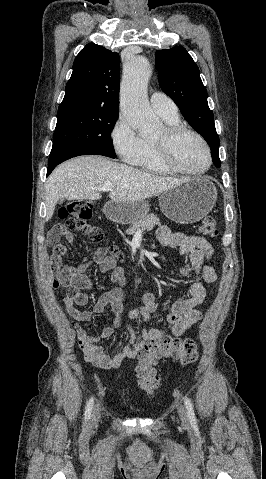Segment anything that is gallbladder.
Listing matches in <instances>:
<instances>
[{
	"instance_id": "obj_1",
	"label": "gallbladder",
	"mask_w": 266,
	"mask_h": 479,
	"mask_svg": "<svg viewBox=\"0 0 266 479\" xmlns=\"http://www.w3.org/2000/svg\"><path fill=\"white\" fill-rule=\"evenodd\" d=\"M64 201V199H60V203H62Z\"/></svg>"
}]
</instances>
